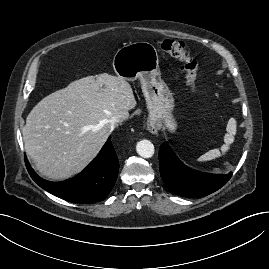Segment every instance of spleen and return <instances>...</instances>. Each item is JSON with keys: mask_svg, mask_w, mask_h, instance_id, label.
<instances>
[{"mask_svg": "<svg viewBox=\"0 0 269 269\" xmlns=\"http://www.w3.org/2000/svg\"><path fill=\"white\" fill-rule=\"evenodd\" d=\"M227 133L224 136V144L220 149H212L198 158V161L205 162L221 157L229 151L231 144L234 142L237 131L236 120L230 118L226 127Z\"/></svg>", "mask_w": 269, "mask_h": 269, "instance_id": "obj_1", "label": "spleen"}]
</instances>
